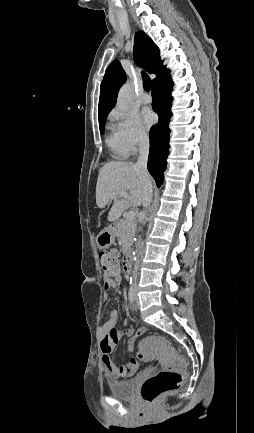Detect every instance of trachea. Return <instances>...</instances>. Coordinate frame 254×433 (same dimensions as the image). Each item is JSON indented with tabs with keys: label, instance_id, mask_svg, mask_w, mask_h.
I'll return each instance as SVG.
<instances>
[{
	"label": "trachea",
	"instance_id": "3493384b",
	"mask_svg": "<svg viewBox=\"0 0 254 433\" xmlns=\"http://www.w3.org/2000/svg\"><path fill=\"white\" fill-rule=\"evenodd\" d=\"M142 78H143L144 89L146 91H150L151 90V79H150V77L147 75V73H145L144 71H142Z\"/></svg>",
	"mask_w": 254,
	"mask_h": 433
}]
</instances>
